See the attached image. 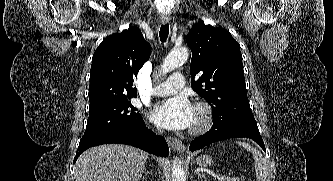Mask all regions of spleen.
I'll list each match as a JSON object with an SVG mask.
<instances>
[{"label": "spleen", "instance_id": "3e777b00", "mask_svg": "<svg viewBox=\"0 0 333 181\" xmlns=\"http://www.w3.org/2000/svg\"><path fill=\"white\" fill-rule=\"evenodd\" d=\"M239 145L243 146L247 151L252 152L254 158V167L256 172L257 181H268L269 176V165L261 152L256 148H252L249 144L245 142H237Z\"/></svg>", "mask_w": 333, "mask_h": 181}]
</instances>
